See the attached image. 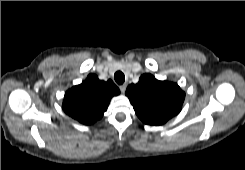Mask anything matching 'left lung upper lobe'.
<instances>
[{
    "label": "left lung upper lobe",
    "mask_w": 245,
    "mask_h": 170,
    "mask_svg": "<svg viewBox=\"0 0 245 170\" xmlns=\"http://www.w3.org/2000/svg\"><path fill=\"white\" fill-rule=\"evenodd\" d=\"M135 113L149 125H163L177 115L182 108L185 93L168 81H159L151 74H144L137 84L127 87Z\"/></svg>",
    "instance_id": "5c2ea615"
}]
</instances>
